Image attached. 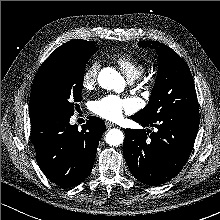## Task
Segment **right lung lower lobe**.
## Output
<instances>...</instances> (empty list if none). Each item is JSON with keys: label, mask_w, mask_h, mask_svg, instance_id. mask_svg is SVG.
Segmentation results:
<instances>
[{"label": "right lung lower lobe", "mask_w": 220, "mask_h": 220, "mask_svg": "<svg viewBox=\"0 0 220 220\" xmlns=\"http://www.w3.org/2000/svg\"><path fill=\"white\" fill-rule=\"evenodd\" d=\"M71 115L41 114L30 118L31 141L38 165L46 177L62 188L81 183L90 173L106 126L91 116L82 130L70 125Z\"/></svg>", "instance_id": "right-lung-lower-lobe-1"}]
</instances>
